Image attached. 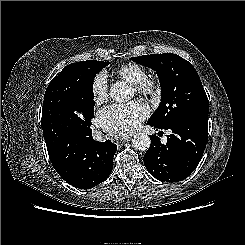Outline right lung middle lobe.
Segmentation results:
<instances>
[{
    "instance_id": "dd1d6c3e",
    "label": "right lung middle lobe",
    "mask_w": 245,
    "mask_h": 245,
    "mask_svg": "<svg viewBox=\"0 0 245 245\" xmlns=\"http://www.w3.org/2000/svg\"><path fill=\"white\" fill-rule=\"evenodd\" d=\"M70 65L79 91V99L76 113L67 121V126L70 131L88 132L91 130V119L94 115V77L108 66L109 62L88 60Z\"/></svg>"
}]
</instances>
